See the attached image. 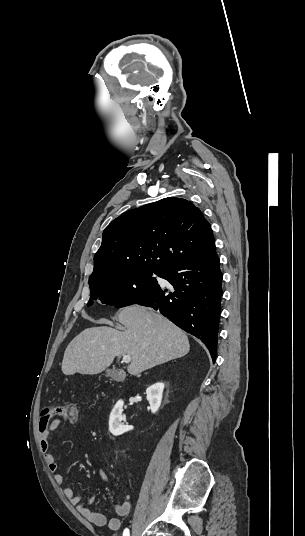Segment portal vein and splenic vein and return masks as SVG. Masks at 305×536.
Wrapping results in <instances>:
<instances>
[{
  "label": "portal vein and splenic vein",
  "mask_w": 305,
  "mask_h": 536,
  "mask_svg": "<svg viewBox=\"0 0 305 536\" xmlns=\"http://www.w3.org/2000/svg\"><path fill=\"white\" fill-rule=\"evenodd\" d=\"M131 362V356H123L122 364H129Z\"/></svg>",
  "instance_id": "obj_1"
}]
</instances>
